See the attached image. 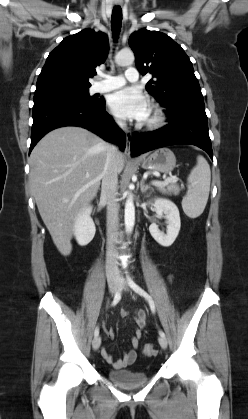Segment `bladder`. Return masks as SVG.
Returning a JSON list of instances; mask_svg holds the SVG:
<instances>
[{"label":"bladder","mask_w":248,"mask_h":419,"mask_svg":"<svg viewBox=\"0 0 248 419\" xmlns=\"http://www.w3.org/2000/svg\"><path fill=\"white\" fill-rule=\"evenodd\" d=\"M107 377L111 382L122 388H137L145 385L149 376L132 369L108 370Z\"/></svg>","instance_id":"31cf9c89"}]
</instances>
